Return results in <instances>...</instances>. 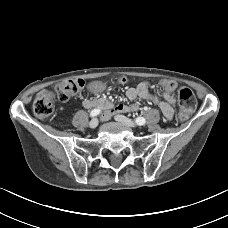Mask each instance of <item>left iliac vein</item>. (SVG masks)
Instances as JSON below:
<instances>
[{"mask_svg": "<svg viewBox=\"0 0 228 228\" xmlns=\"http://www.w3.org/2000/svg\"><path fill=\"white\" fill-rule=\"evenodd\" d=\"M115 120L121 122L129 127H136V123L129 118H126L122 115H116Z\"/></svg>", "mask_w": 228, "mask_h": 228, "instance_id": "1", "label": "left iliac vein"}]
</instances>
